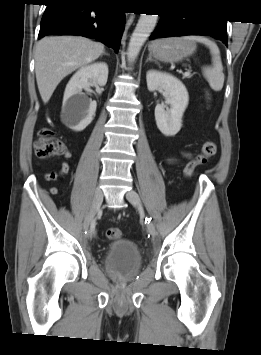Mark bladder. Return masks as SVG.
<instances>
[{"instance_id": "31cf9c89", "label": "bladder", "mask_w": 261, "mask_h": 355, "mask_svg": "<svg viewBox=\"0 0 261 355\" xmlns=\"http://www.w3.org/2000/svg\"><path fill=\"white\" fill-rule=\"evenodd\" d=\"M106 268L118 277L132 278L142 263L138 246L128 239L110 243L104 254Z\"/></svg>"}]
</instances>
